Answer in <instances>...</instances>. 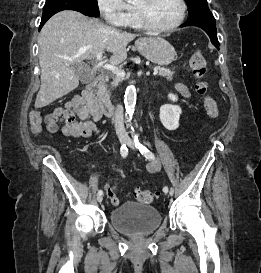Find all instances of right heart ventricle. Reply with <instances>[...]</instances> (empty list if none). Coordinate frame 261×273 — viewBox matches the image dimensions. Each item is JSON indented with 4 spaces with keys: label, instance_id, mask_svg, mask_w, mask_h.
I'll list each match as a JSON object with an SVG mask.
<instances>
[{
    "label": "right heart ventricle",
    "instance_id": "right-heart-ventricle-1",
    "mask_svg": "<svg viewBox=\"0 0 261 273\" xmlns=\"http://www.w3.org/2000/svg\"><path fill=\"white\" fill-rule=\"evenodd\" d=\"M126 27H129V28L135 29V30H139V29L142 28V26H141V24L139 22V19H138L135 8H130V16L128 18Z\"/></svg>",
    "mask_w": 261,
    "mask_h": 273
}]
</instances>
